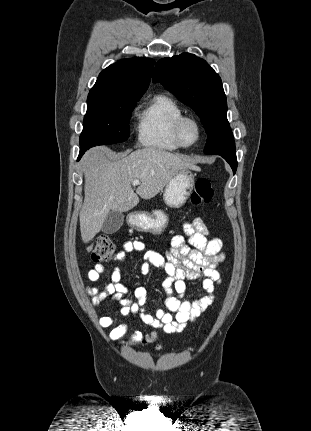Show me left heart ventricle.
I'll list each match as a JSON object with an SVG mask.
<instances>
[{
	"label": "left heart ventricle",
	"mask_w": 311,
	"mask_h": 431,
	"mask_svg": "<svg viewBox=\"0 0 311 431\" xmlns=\"http://www.w3.org/2000/svg\"><path fill=\"white\" fill-rule=\"evenodd\" d=\"M183 135L187 142L196 141L199 135V128L197 123L194 120H188L185 122L183 126Z\"/></svg>",
	"instance_id": "b2bd125f"
}]
</instances>
